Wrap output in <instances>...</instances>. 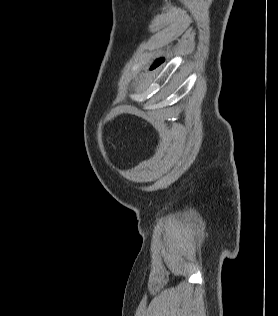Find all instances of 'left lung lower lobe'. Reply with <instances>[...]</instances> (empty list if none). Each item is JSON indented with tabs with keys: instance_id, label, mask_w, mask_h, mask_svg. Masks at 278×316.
Returning <instances> with one entry per match:
<instances>
[{
	"instance_id": "obj_1",
	"label": "left lung lower lobe",
	"mask_w": 278,
	"mask_h": 316,
	"mask_svg": "<svg viewBox=\"0 0 278 316\" xmlns=\"http://www.w3.org/2000/svg\"><path fill=\"white\" fill-rule=\"evenodd\" d=\"M162 61H163V59H160V60L158 61V63H157L154 67L158 66Z\"/></svg>"
}]
</instances>
